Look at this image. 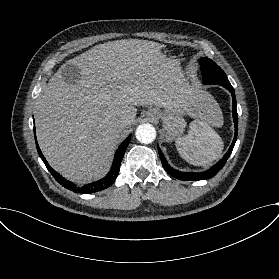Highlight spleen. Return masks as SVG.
I'll use <instances>...</instances> for the list:
<instances>
[{"label":"spleen","mask_w":279,"mask_h":279,"mask_svg":"<svg viewBox=\"0 0 279 279\" xmlns=\"http://www.w3.org/2000/svg\"><path fill=\"white\" fill-rule=\"evenodd\" d=\"M203 110L201 117L191 123L189 134L176 140L180 155L195 166H205L220 158L224 143L210 126L221 127L223 115L218 103L206 92H201ZM187 157L188 159H186Z\"/></svg>","instance_id":"3e777b00"}]
</instances>
